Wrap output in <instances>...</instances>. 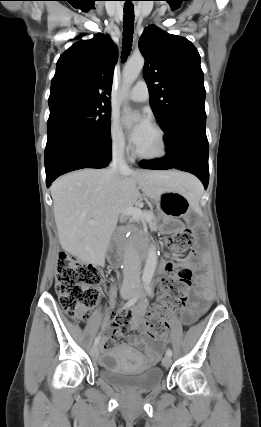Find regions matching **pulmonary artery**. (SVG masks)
I'll return each instance as SVG.
<instances>
[{
	"instance_id": "e3ab8cb5",
	"label": "pulmonary artery",
	"mask_w": 261,
	"mask_h": 427,
	"mask_svg": "<svg viewBox=\"0 0 261 427\" xmlns=\"http://www.w3.org/2000/svg\"><path fill=\"white\" fill-rule=\"evenodd\" d=\"M127 98L134 102H144L149 98L147 84L144 81H139L127 94Z\"/></svg>"
}]
</instances>
